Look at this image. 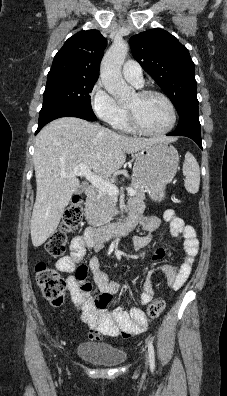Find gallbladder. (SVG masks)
I'll list each match as a JSON object with an SVG mask.
<instances>
[{"mask_svg":"<svg viewBox=\"0 0 227 396\" xmlns=\"http://www.w3.org/2000/svg\"><path fill=\"white\" fill-rule=\"evenodd\" d=\"M83 191V187H79L76 191V193H81Z\"/></svg>","mask_w":227,"mask_h":396,"instance_id":"obj_1","label":"gallbladder"}]
</instances>
